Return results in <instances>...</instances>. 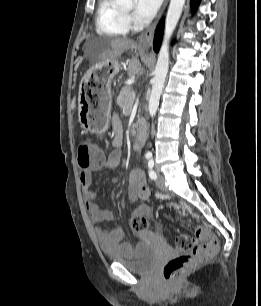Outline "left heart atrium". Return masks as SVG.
Masks as SVG:
<instances>
[{
	"label": "left heart atrium",
	"mask_w": 261,
	"mask_h": 306,
	"mask_svg": "<svg viewBox=\"0 0 261 306\" xmlns=\"http://www.w3.org/2000/svg\"><path fill=\"white\" fill-rule=\"evenodd\" d=\"M162 0H135L134 16L140 21L150 20L160 7Z\"/></svg>",
	"instance_id": "obj_1"
}]
</instances>
